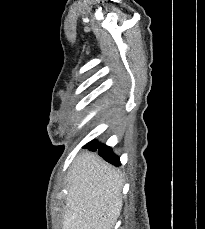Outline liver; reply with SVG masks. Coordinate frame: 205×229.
<instances>
[{
    "instance_id": "1",
    "label": "liver",
    "mask_w": 205,
    "mask_h": 229,
    "mask_svg": "<svg viewBox=\"0 0 205 229\" xmlns=\"http://www.w3.org/2000/svg\"><path fill=\"white\" fill-rule=\"evenodd\" d=\"M63 229H112L122 210L123 180L99 156H78L67 178Z\"/></svg>"
}]
</instances>
